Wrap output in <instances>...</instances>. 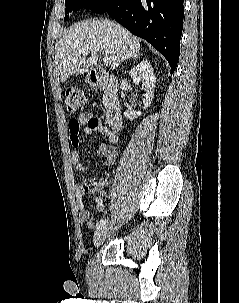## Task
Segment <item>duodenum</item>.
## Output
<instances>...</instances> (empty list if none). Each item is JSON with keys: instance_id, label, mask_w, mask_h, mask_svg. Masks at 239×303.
Returning a JSON list of instances; mask_svg holds the SVG:
<instances>
[{"instance_id": "obj_1", "label": "duodenum", "mask_w": 239, "mask_h": 303, "mask_svg": "<svg viewBox=\"0 0 239 303\" xmlns=\"http://www.w3.org/2000/svg\"><path fill=\"white\" fill-rule=\"evenodd\" d=\"M90 82L104 92L105 117L111 130L122 127V109L118 97L119 82L114 76H103L96 70L89 75Z\"/></svg>"}]
</instances>
